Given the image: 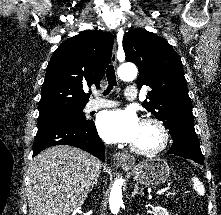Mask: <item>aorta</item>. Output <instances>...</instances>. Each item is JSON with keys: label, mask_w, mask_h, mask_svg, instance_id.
Returning a JSON list of instances; mask_svg holds the SVG:
<instances>
[{"label": "aorta", "mask_w": 221, "mask_h": 215, "mask_svg": "<svg viewBox=\"0 0 221 215\" xmlns=\"http://www.w3.org/2000/svg\"><path fill=\"white\" fill-rule=\"evenodd\" d=\"M118 77L123 81H131L134 80L137 76V67L134 64L126 63L121 65L118 68ZM123 180L121 178H118L115 180L109 197V205L110 210L113 214L117 215L119 212V208L123 203L122 200V186Z\"/></svg>", "instance_id": "obj_1"}]
</instances>
